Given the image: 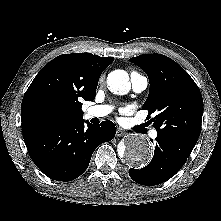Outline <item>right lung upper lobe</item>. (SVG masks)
Here are the masks:
<instances>
[{"mask_svg": "<svg viewBox=\"0 0 221 221\" xmlns=\"http://www.w3.org/2000/svg\"><path fill=\"white\" fill-rule=\"evenodd\" d=\"M113 57L91 53L63 54L44 66L27 89L21 105L23 135L83 120L82 100L93 101L98 80Z\"/></svg>", "mask_w": 221, "mask_h": 221, "instance_id": "right-lung-upper-lobe-1", "label": "right lung upper lobe"}]
</instances>
